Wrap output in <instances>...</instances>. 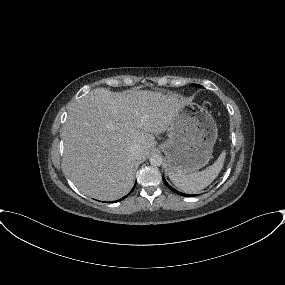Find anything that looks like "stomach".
I'll return each instance as SVG.
<instances>
[{"label": "stomach", "instance_id": "1", "mask_svg": "<svg viewBox=\"0 0 285 285\" xmlns=\"http://www.w3.org/2000/svg\"><path fill=\"white\" fill-rule=\"evenodd\" d=\"M218 135L212 115L201 106H182L168 128V140L160 145L168 172L189 174L208 164Z\"/></svg>", "mask_w": 285, "mask_h": 285}]
</instances>
